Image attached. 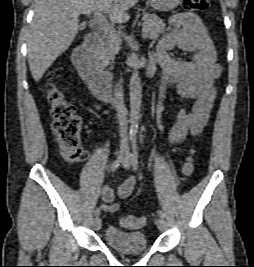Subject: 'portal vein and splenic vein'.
<instances>
[{"label": "portal vein and splenic vein", "instance_id": "portal-vein-and-splenic-vein-1", "mask_svg": "<svg viewBox=\"0 0 254 267\" xmlns=\"http://www.w3.org/2000/svg\"><path fill=\"white\" fill-rule=\"evenodd\" d=\"M93 21L100 26L107 37L120 41L119 35L114 31L113 27L109 24L106 17L101 13V11H95ZM142 37L146 38L145 31L142 32Z\"/></svg>", "mask_w": 254, "mask_h": 267}]
</instances>
